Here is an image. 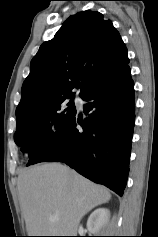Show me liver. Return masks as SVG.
<instances>
[{
  "label": "liver",
  "instance_id": "6515ba94",
  "mask_svg": "<svg viewBox=\"0 0 158 237\" xmlns=\"http://www.w3.org/2000/svg\"><path fill=\"white\" fill-rule=\"evenodd\" d=\"M17 188L28 236H75L82 217L111 198L107 188L60 163L24 169Z\"/></svg>",
  "mask_w": 158,
  "mask_h": 237
}]
</instances>
